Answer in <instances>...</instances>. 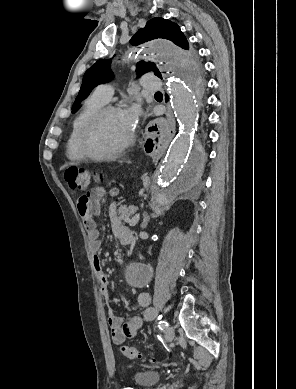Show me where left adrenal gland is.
Wrapping results in <instances>:
<instances>
[{
    "instance_id": "a2214340",
    "label": "left adrenal gland",
    "mask_w": 296,
    "mask_h": 389,
    "mask_svg": "<svg viewBox=\"0 0 296 389\" xmlns=\"http://www.w3.org/2000/svg\"><path fill=\"white\" fill-rule=\"evenodd\" d=\"M150 218H151V217L148 215L147 212H144V213H143V222H142V224H141V228H142V229H145V228L147 227L148 222L150 221Z\"/></svg>"
}]
</instances>
